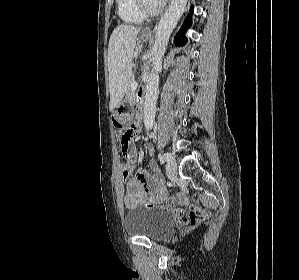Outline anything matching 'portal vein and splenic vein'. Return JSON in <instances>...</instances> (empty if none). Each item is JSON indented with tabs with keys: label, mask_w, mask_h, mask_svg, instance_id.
Here are the masks:
<instances>
[{
	"label": "portal vein and splenic vein",
	"mask_w": 299,
	"mask_h": 280,
	"mask_svg": "<svg viewBox=\"0 0 299 280\" xmlns=\"http://www.w3.org/2000/svg\"><path fill=\"white\" fill-rule=\"evenodd\" d=\"M138 86V83L136 80L133 81V83L131 84V90H135Z\"/></svg>",
	"instance_id": "obj_1"
}]
</instances>
